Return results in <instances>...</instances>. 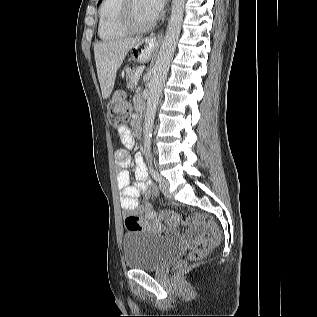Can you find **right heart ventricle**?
Masks as SVG:
<instances>
[{"label":"right heart ventricle","mask_w":317,"mask_h":317,"mask_svg":"<svg viewBox=\"0 0 317 317\" xmlns=\"http://www.w3.org/2000/svg\"><path fill=\"white\" fill-rule=\"evenodd\" d=\"M120 3L121 0H102L99 8L98 35L103 41H116L128 34L118 24Z\"/></svg>","instance_id":"e07e8e85"}]
</instances>
